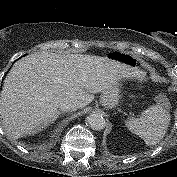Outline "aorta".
<instances>
[{
  "label": "aorta",
  "mask_w": 177,
  "mask_h": 177,
  "mask_svg": "<svg viewBox=\"0 0 177 177\" xmlns=\"http://www.w3.org/2000/svg\"><path fill=\"white\" fill-rule=\"evenodd\" d=\"M86 121L93 130H102L106 126L104 117L98 113L90 114Z\"/></svg>",
  "instance_id": "obj_1"
}]
</instances>
